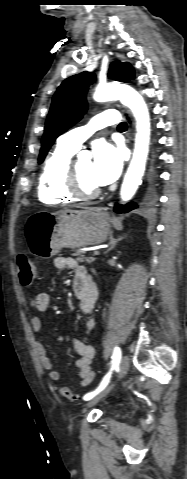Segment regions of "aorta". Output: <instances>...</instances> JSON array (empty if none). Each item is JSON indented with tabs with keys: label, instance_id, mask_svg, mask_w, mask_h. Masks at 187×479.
Wrapping results in <instances>:
<instances>
[{
	"label": "aorta",
	"instance_id": "762f6f07",
	"mask_svg": "<svg viewBox=\"0 0 187 479\" xmlns=\"http://www.w3.org/2000/svg\"><path fill=\"white\" fill-rule=\"evenodd\" d=\"M93 98L97 102L118 99L129 107L136 119V136L133 157L124 177L120 195L129 201L141 183L150 141V117L142 96L133 88L119 84H105L96 88Z\"/></svg>",
	"mask_w": 187,
	"mask_h": 479
}]
</instances>
